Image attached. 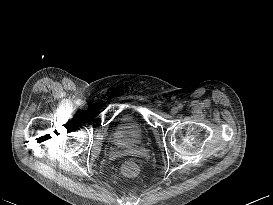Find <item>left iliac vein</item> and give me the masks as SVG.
<instances>
[{
	"label": "left iliac vein",
	"instance_id": "1",
	"mask_svg": "<svg viewBox=\"0 0 273 205\" xmlns=\"http://www.w3.org/2000/svg\"><path fill=\"white\" fill-rule=\"evenodd\" d=\"M170 113L172 114V115H176L177 113H178V108L177 107H172L171 108V110H170Z\"/></svg>",
	"mask_w": 273,
	"mask_h": 205
}]
</instances>
